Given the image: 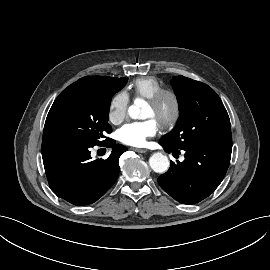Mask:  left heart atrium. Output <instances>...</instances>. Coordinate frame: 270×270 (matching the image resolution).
Wrapping results in <instances>:
<instances>
[{
  "mask_svg": "<svg viewBox=\"0 0 270 270\" xmlns=\"http://www.w3.org/2000/svg\"><path fill=\"white\" fill-rule=\"evenodd\" d=\"M159 131V123L155 118H149L141 122H130L118 130L119 140L127 145L142 146L146 139L156 135Z\"/></svg>",
  "mask_w": 270,
  "mask_h": 270,
  "instance_id": "left-heart-atrium-1",
  "label": "left heart atrium"
}]
</instances>
